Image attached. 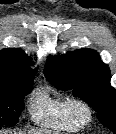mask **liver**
Returning <instances> with one entry per match:
<instances>
[{
    "label": "liver",
    "mask_w": 116,
    "mask_h": 134,
    "mask_svg": "<svg viewBox=\"0 0 116 134\" xmlns=\"http://www.w3.org/2000/svg\"><path fill=\"white\" fill-rule=\"evenodd\" d=\"M24 134H42V133L37 132V131H31V132H29V133H24Z\"/></svg>",
    "instance_id": "obj_1"
}]
</instances>
